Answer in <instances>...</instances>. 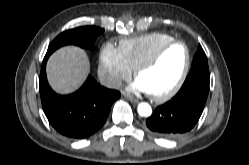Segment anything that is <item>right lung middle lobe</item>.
I'll return each instance as SVG.
<instances>
[{"label": "right lung middle lobe", "mask_w": 249, "mask_h": 165, "mask_svg": "<svg viewBox=\"0 0 249 165\" xmlns=\"http://www.w3.org/2000/svg\"><path fill=\"white\" fill-rule=\"evenodd\" d=\"M103 32L104 29L94 26H84L67 30L52 41L46 54L50 55L59 47L69 44L91 49L96 38Z\"/></svg>", "instance_id": "right-lung-middle-lobe-1"}]
</instances>
